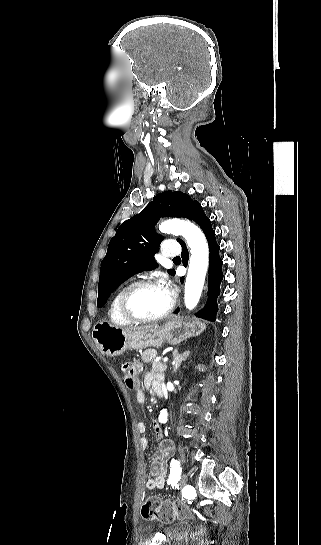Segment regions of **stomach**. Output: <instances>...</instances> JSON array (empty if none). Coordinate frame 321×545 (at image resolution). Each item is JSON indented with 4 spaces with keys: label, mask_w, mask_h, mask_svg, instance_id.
<instances>
[{
    "label": "stomach",
    "mask_w": 321,
    "mask_h": 545,
    "mask_svg": "<svg viewBox=\"0 0 321 545\" xmlns=\"http://www.w3.org/2000/svg\"><path fill=\"white\" fill-rule=\"evenodd\" d=\"M205 329L202 321L185 323L182 319H170L162 327L145 329V331H128L124 333L119 327L110 325L107 321L96 323L92 331L95 345L103 355H122L127 349H147V347H162L163 343L178 345L189 337H198Z\"/></svg>",
    "instance_id": "obj_1"
}]
</instances>
